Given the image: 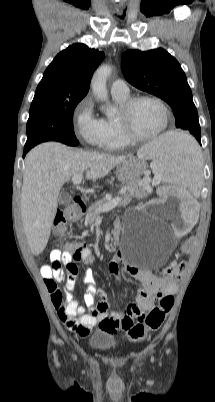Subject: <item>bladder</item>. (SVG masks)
<instances>
[{"instance_id":"1","label":"bladder","mask_w":215,"mask_h":402,"mask_svg":"<svg viewBox=\"0 0 215 402\" xmlns=\"http://www.w3.org/2000/svg\"><path fill=\"white\" fill-rule=\"evenodd\" d=\"M90 346L99 351H109L116 345L114 336L105 330L96 331L89 340Z\"/></svg>"}]
</instances>
